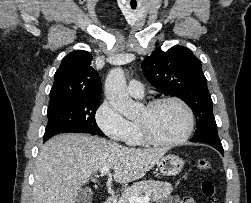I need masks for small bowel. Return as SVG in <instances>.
Here are the masks:
<instances>
[{"mask_svg": "<svg viewBox=\"0 0 251 203\" xmlns=\"http://www.w3.org/2000/svg\"><path fill=\"white\" fill-rule=\"evenodd\" d=\"M159 203H196L194 199L190 197L179 198L178 196H168Z\"/></svg>", "mask_w": 251, "mask_h": 203, "instance_id": "1", "label": "small bowel"}]
</instances>
